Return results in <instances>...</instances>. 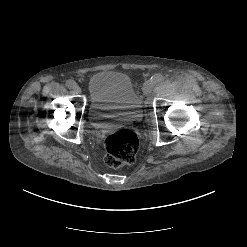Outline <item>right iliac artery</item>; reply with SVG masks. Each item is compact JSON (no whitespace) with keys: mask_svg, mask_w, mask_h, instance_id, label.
Here are the masks:
<instances>
[{"mask_svg":"<svg viewBox=\"0 0 247 247\" xmlns=\"http://www.w3.org/2000/svg\"><path fill=\"white\" fill-rule=\"evenodd\" d=\"M66 86H67L69 89H73V88L76 86V82L73 81V80H67V81H66Z\"/></svg>","mask_w":247,"mask_h":247,"instance_id":"right-iliac-artery-1","label":"right iliac artery"}]
</instances>
